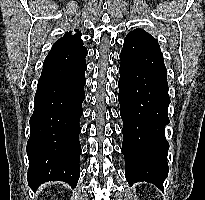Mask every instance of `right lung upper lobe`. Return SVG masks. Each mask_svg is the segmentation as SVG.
<instances>
[{"label":"right lung upper lobe","mask_w":205,"mask_h":200,"mask_svg":"<svg viewBox=\"0 0 205 200\" xmlns=\"http://www.w3.org/2000/svg\"><path fill=\"white\" fill-rule=\"evenodd\" d=\"M77 33L71 35L72 31L67 32L62 38L58 39L52 47L51 51L60 50H78L83 48V42L81 40V33L75 30Z\"/></svg>","instance_id":"cb5924a9"}]
</instances>
